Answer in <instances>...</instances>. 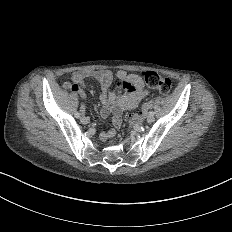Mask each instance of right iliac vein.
<instances>
[{
    "instance_id": "obj_1",
    "label": "right iliac vein",
    "mask_w": 232,
    "mask_h": 232,
    "mask_svg": "<svg viewBox=\"0 0 232 232\" xmlns=\"http://www.w3.org/2000/svg\"><path fill=\"white\" fill-rule=\"evenodd\" d=\"M81 123H82L83 125H86V124L88 123V118H87V117H82V118H81Z\"/></svg>"
}]
</instances>
